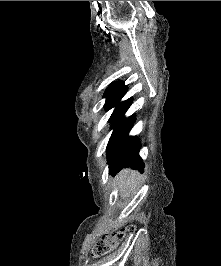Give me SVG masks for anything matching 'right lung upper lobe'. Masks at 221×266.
Instances as JSON below:
<instances>
[{
	"instance_id": "right-lung-upper-lobe-1",
	"label": "right lung upper lobe",
	"mask_w": 221,
	"mask_h": 266,
	"mask_svg": "<svg viewBox=\"0 0 221 266\" xmlns=\"http://www.w3.org/2000/svg\"><path fill=\"white\" fill-rule=\"evenodd\" d=\"M121 87H125L124 82L123 81H117V82H113L112 84H110L108 89L121 88Z\"/></svg>"
}]
</instances>
